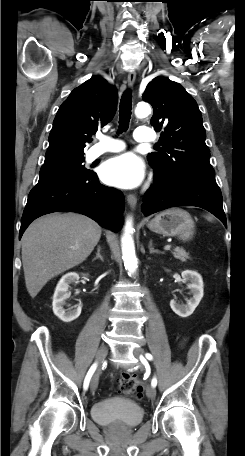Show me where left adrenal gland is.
I'll return each instance as SVG.
<instances>
[{
	"label": "left adrenal gland",
	"instance_id": "obj_1",
	"mask_svg": "<svg viewBox=\"0 0 245 456\" xmlns=\"http://www.w3.org/2000/svg\"><path fill=\"white\" fill-rule=\"evenodd\" d=\"M148 248H149V252H150V254H153V253H157V254H160V253H162V252H160L159 250H157V249H154V246H153L152 240H150V242H149V245H148Z\"/></svg>",
	"mask_w": 245,
	"mask_h": 456
}]
</instances>
